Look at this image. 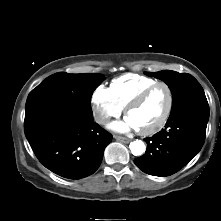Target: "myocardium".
<instances>
[{"instance_id":"obj_1","label":"myocardium","mask_w":221,"mask_h":221,"mask_svg":"<svg viewBox=\"0 0 221 221\" xmlns=\"http://www.w3.org/2000/svg\"><path fill=\"white\" fill-rule=\"evenodd\" d=\"M159 86H162L167 90V93H168L167 108H166V111H165L163 117L156 125H154L153 127L149 128V129L138 130V133L143 136H150V135H154V134L158 133L168 122V120L171 116L172 110H173V105H174V94H173V91H172V88L170 87V85H168L166 82L157 81V82L151 84L150 86H148L147 88H145L143 91H141L124 108L125 116H128V114L131 110H133L134 108H136L140 104H142L146 100V98L150 95V93L155 88H157Z\"/></svg>"}]
</instances>
